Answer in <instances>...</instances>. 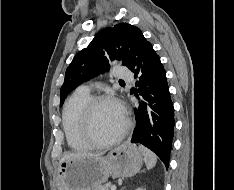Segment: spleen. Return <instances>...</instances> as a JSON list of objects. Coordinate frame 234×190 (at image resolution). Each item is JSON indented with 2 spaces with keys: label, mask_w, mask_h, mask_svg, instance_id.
I'll return each instance as SVG.
<instances>
[{
  "label": "spleen",
  "mask_w": 234,
  "mask_h": 190,
  "mask_svg": "<svg viewBox=\"0 0 234 190\" xmlns=\"http://www.w3.org/2000/svg\"><path fill=\"white\" fill-rule=\"evenodd\" d=\"M139 149L144 156V161H145L147 169L148 170L152 169L156 165V162H157L156 155L152 151H150L149 149H147L146 147L142 145L139 146Z\"/></svg>",
  "instance_id": "obj_1"
}]
</instances>
